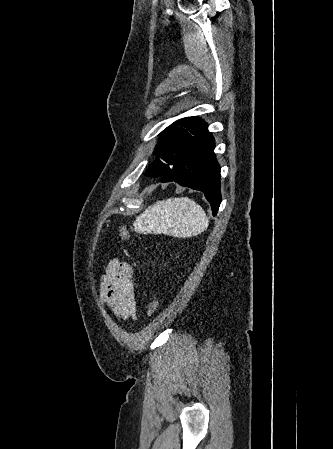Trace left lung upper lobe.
<instances>
[{
    "instance_id": "obj_1",
    "label": "left lung upper lobe",
    "mask_w": 333,
    "mask_h": 449,
    "mask_svg": "<svg viewBox=\"0 0 333 449\" xmlns=\"http://www.w3.org/2000/svg\"><path fill=\"white\" fill-rule=\"evenodd\" d=\"M205 121L199 117L179 119L160 134L154 154L153 171L149 176H164L179 167L187 158Z\"/></svg>"
}]
</instances>
